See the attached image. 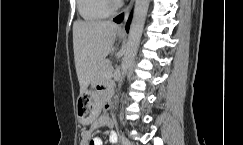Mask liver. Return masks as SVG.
<instances>
[{"mask_svg": "<svg viewBox=\"0 0 243 145\" xmlns=\"http://www.w3.org/2000/svg\"><path fill=\"white\" fill-rule=\"evenodd\" d=\"M119 26L111 21H75L73 49L80 93L97 76L101 63L113 48Z\"/></svg>", "mask_w": 243, "mask_h": 145, "instance_id": "liver-1", "label": "liver"}]
</instances>
